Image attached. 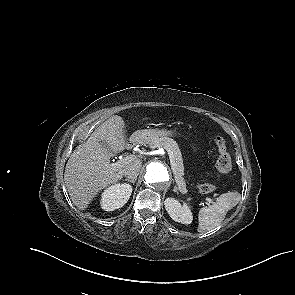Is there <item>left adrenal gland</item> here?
<instances>
[{"label":"left adrenal gland","instance_id":"left-adrenal-gland-1","mask_svg":"<svg viewBox=\"0 0 295 295\" xmlns=\"http://www.w3.org/2000/svg\"><path fill=\"white\" fill-rule=\"evenodd\" d=\"M174 192H178L177 187L175 186L173 189Z\"/></svg>","mask_w":295,"mask_h":295}]
</instances>
